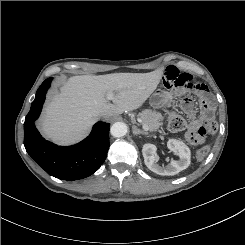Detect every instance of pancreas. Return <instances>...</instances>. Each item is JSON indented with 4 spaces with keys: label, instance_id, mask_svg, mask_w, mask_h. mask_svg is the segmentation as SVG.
I'll return each mask as SVG.
<instances>
[{
    "label": "pancreas",
    "instance_id": "1",
    "mask_svg": "<svg viewBox=\"0 0 245 245\" xmlns=\"http://www.w3.org/2000/svg\"><path fill=\"white\" fill-rule=\"evenodd\" d=\"M139 118L151 132L158 131L162 127L163 116L159 112L146 109L139 113Z\"/></svg>",
    "mask_w": 245,
    "mask_h": 245
}]
</instances>
